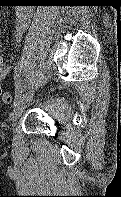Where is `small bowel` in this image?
Masks as SVG:
<instances>
[{
  "label": "small bowel",
  "mask_w": 121,
  "mask_h": 197,
  "mask_svg": "<svg viewBox=\"0 0 121 197\" xmlns=\"http://www.w3.org/2000/svg\"><path fill=\"white\" fill-rule=\"evenodd\" d=\"M31 19V10L18 8L16 11L15 26L13 29V44L19 46ZM1 25V19H0ZM11 72L10 64H4L0 56V81L5 80Z\"/></svg>",
  "instance_id": "c3829d8e"
}]
</instances>
